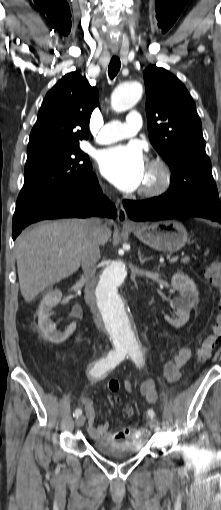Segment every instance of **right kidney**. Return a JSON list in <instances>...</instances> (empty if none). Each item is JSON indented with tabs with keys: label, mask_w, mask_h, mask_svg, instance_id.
Instances as JSON below:
<instances>
[{
	"label": "right kidney",
	"mask_w": 221,
	"mask_h": 510,
	"mask_svg": "<svg viewBox=\"0 0 221 510\" xmlns=\"http://www.w3.org/2000/svg\"><path fill=\"white\" fill-rule=\"evenodd\" d=\"M62 297L60 290H49L41 301L37 315L38 327L43 335L52 343L59 344L64 342L76 329V324L72 323L64 332L56 330V324L50 319V311L56 306Z\"/></svg>",
	"instance_id": "obj_1"
}]
</instances>
